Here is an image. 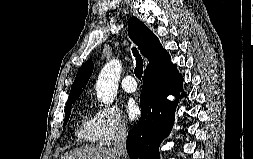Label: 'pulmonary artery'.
<instances>
[{"instance_id":"obj_1","label":"pulmonary artery","mask_w":253,"mask_h":159,"mask_svg":"<svg viewBox=\"0 0 253 159\" xmlns=\"http://www.w3.org/2000/svg\"><path fill=\"white\" fill-rule=\"evenodd\" d=\"M121 87L123 91L127 93L135 92L137 89V84L134 80V77L132 75H126L121 82Z\"/></svg>"}]
</instances>
